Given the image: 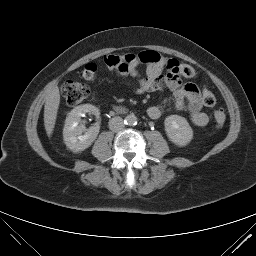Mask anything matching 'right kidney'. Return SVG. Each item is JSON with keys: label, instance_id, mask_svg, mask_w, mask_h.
Listing matches in <instances>:
<instances>
[{"label": "right kidney", "instance_id": "ca27d5eb", "mask_svg": "<svg viewBox=\"0 0 256 256\" xmlns=\"http://www.w3.org/2000/svg\"><path fill=\"white\" fill-rule=\"evenodd\" d=\"M86 113L99 116V109L91 104L79 105L68 113L63 129V138L66 146L78 153L90 147L94 140L97 138L100 126L98 123L95 126L86 129L81 125V117ZM85 132L84 134H82Z\"/></svg>", "mask_w": 256, "mask_h": 256}]
</instances>
